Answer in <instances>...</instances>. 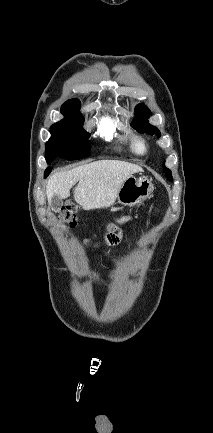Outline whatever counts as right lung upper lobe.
<instances>
[{"instance_id": "obj_1", "label": "right lung upper lobe", "mask_w": 213, "mask_h": 433, "mask_svg": "<svg viewBox=\"0 0 213 433\" xmlns=\"http://www.w3.org/2000/svg\"><path fill=\"white\" fill-rule=\"evenodd\" d=\"M81 107V103L78 99H71L68 100L67 102H65L62 107H61V111L65 112V113H69L72 115H76L79 117H83L80 113H79V109Z\"/></svg>"}]
</instances>
